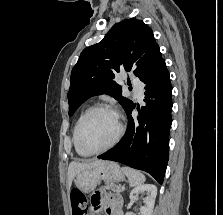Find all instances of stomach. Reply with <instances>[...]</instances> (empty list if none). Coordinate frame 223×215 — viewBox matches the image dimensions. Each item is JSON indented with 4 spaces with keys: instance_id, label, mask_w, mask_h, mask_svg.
Here are the masks:
<instances>
[{
    "instance_id": "stomach-1",
    "label": "stomach",
    "mask_w": 223,
    "mask_h": 215,
    "mask_svg": "<svg viewBox=\"0 0 223 215\" xmlns=\"http://www.w3.org/2000/svg\"><path fill=\"white\" fill-rule=\"evenodd\" d=\"M75 179L76 184L70 190H79V193H89V191L95 189L98 180L124 181L125 175L116 161H102L100 165L80 171Z\"/></svg>"
}]
</instances>
